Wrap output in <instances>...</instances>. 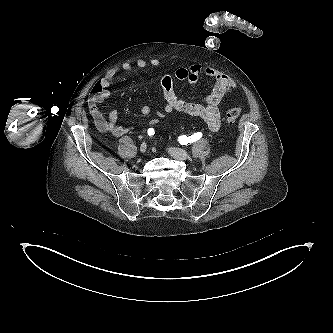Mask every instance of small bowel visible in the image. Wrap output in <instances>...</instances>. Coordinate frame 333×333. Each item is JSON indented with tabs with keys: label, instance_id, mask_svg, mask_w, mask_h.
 Instances as JSON below:
<instances>
[{
	"label": "small bowel",
	"instance_id": "1",
	"mask_svg": "<svg viewBox=\"0 0 333 333\" xmlns=\"http://www.w3.org/2000/svg\"><path fill=\"white\" fill-rule=\"evenodd\" d=\"M159 64L160 62L156 58L150 59L149 61L138 59L135 63L124 62L120 67L108 70L105 76L98 81L97 85L101 88V92L96 96H91L90 108L94 123L99 131L112 136L121 137L132 130L130 127H123L117 124L118 114L116 111H111L106 119L98 107L99 104L103 103L110 96V86L116 79L118 73L121 70L131 71L134 68L143 69L147 66L157 67ZM202 74L212 78L215 82L211 93L206 97L203 105L194 104L179 97L174 89L173 77L164 75L161 79V86L165 98V105L163 110L157 112L156 117L150 120L149 125H155L158 119L163 118L166 114L178 111L203 119L211 131L218 132L221 124V105L226 95L235 87V83L225 73L214 68H203L199 64H192L189 67L176 69L174 77L178 80L195 84ZM141 113L144 116L149 115L150 108L144 106L141 109Z\"/></svg>",
	"mask_w": 333,
	"mask_h": 333
}]
</instances>
